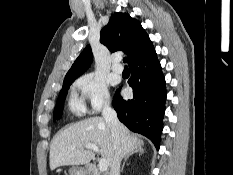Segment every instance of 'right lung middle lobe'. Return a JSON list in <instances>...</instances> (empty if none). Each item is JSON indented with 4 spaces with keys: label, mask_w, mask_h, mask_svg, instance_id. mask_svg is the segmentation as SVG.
Wrapping results in <instances>:
<instances>
[{
    "label": "right lung middle lobe",
    "mask_w": 233,
    "mask_h": 175,
    "mask_svg": "<svg viewBox=\"0 0 233 175\" xmlns=\"http://www.w3.org/2000/svg\"><path fill=\"white\" fill-rule=\"evenodd\" d=\"M73 81L74 80H67V81H64L63 83V88L59 93L56 107L54 110V115H53L54 120L60 119V117L62 116L63 103L66 98L69 86L72 84Z\"/></svg>",
    "instance_id": "1"
}]
</instances>
